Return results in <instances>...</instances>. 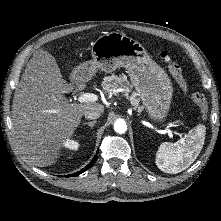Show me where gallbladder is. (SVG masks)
<instances>
[{
  "label": "gallbladder",
  "instance_id": "1",
  "mask_svg": "<svg viewBox=\"0 0 221 221\" xmlns=\"http://www.w3.org/2000/svg\"><path fill=\"white\" fill-rule=\"evenodd\" d=\"M36 73L47 84L57 86L61 92H68L70 86L63 80V75L56 66L55 58L45 51H38L32 57Z\"/></svg>",
  "mask_w": 221,
  "mask_h": 221
}]
</instances>
